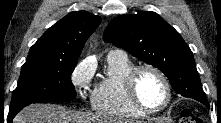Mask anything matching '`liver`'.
Segmentation results:
<instances>
[{"label":"liver","mask_w":221,"mask_h":123,"mask_svg":"<svg viewBox=\"0 0 221 123\" xmlns=\"http://www.w3.org/2000/svg\"><path fill=\"white\" fill-rule=\"evenodd\" d=\"M14 123H100L102 119L73 112L55 104H32L24 108Z\"/></svg>","instance_id":"obj_1"}]
</instances>
